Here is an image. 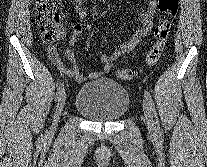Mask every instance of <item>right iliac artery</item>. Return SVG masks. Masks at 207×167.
Here are the masks:
<instances>
[{
    "instance_id": "1",
    "label": "right iliac artery",
    "mask_w": 207,
    "mask_h": 167,
    "mask_svg": "<svg viewBox=\"0 0 207 167\" xmlns=\"http://www.w3.org/2000/svg\"><path fill=\"white\" fill-rule=\"evenodd\" d=\"M64 92V84H60V86L57 89L56 92V100L60 98V96L62 95V93Z\"/></svg>"
}]
</instances>
